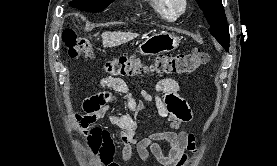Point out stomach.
I'll use <instances>...</instances> for the list:
<instances>
[{
	"label": "stomach",
	"mask_w": 277,
	"mask_h": 166,
	"mask_svg": "<svg viewBox=\"0 0 277 166\" xmlns=\"http://www.w3.org/2000/svg\"><path fill=\"white\" fill-rule=\"evenodd\" d=\"M179 45V39L171 33L159 32L145 39L139 46L142 55H159L171 52Z\"/></svg>",
	"instance_id": "obj_1"
}]
</instances>
